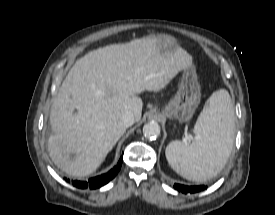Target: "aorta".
Listing matches in <instances>:
<instances>
[{"mask_svg":"<svg viewBox=\"0 0 275 215\" xmlns=\"http://www.w3.org/2000/svg\"><path fill=\"white\" fill-rule=\"evenodd\" d=\"M143 133L148 139L156 138L160 134V126L155 121L148 122L143 126Z\"/></svg>","mask_w":275,"mask_h":215,"instance_id":"762f6f07","label":"aorta"}]
</instances>
